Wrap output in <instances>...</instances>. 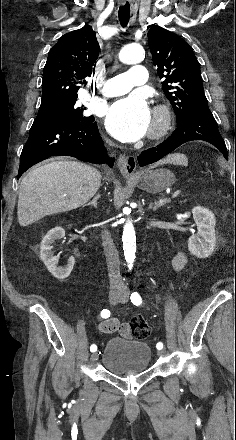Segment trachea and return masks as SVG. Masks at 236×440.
Masks as SVG:
<instances>
[{
	"mask_svg": "<svg viewBox=\"0 0 236 440\" xmlns=\"http://www.w3.org/2000/svg\"><path fill=\"white\" fill-rule=\"evenodd\" d=\"M118 16H119V21H120L122 27H126L129 22V17H130L129 3H126L123 6H120Z\"/></svg>",
	"mask_w": 236,
	"mask_h": 440,
	"instance_id": "1",
	"label": "trachea"
}]
</instances>
